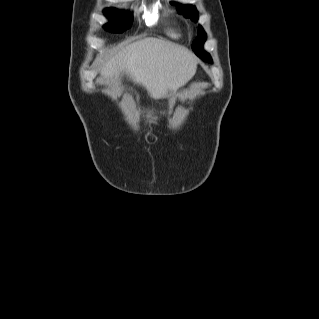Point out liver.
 <instances>
[{
    "label": "liver",
    "instance_id": "6515ba94",
    "mask_svg": "<svg viewBox=\"0 0 319 319\" xmlns=\"http://www.w3.org/2000/svg\"><path fill=\"white\" fill-rule=\"evenodd\" d=\"M197 63V57L185 47L149 37L122 47L103 64L100 74L109 81L126 73L152 98L161 99L184 86L194 76Z\"/></svg>",
    "mask_w": 319,
    "mask_h": 319
}]
</instances>
